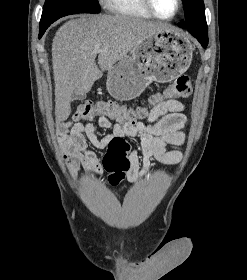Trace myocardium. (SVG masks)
<instances>
[{
  "label": "myocardium",
  "mask_w": 247,
  "mask_h": 280,
  "mask_svg": "<svg viewBox=\"0 0 247 280\" xmlns=\"http://www.w3.org/2000/svg\"><path fill=\"white\" fill-rule=\"evenodd\" d=\"M142 1H143V4H144L146 10L151 14V16L156 19L162 20V21H171V20L175 19L177 17V15L179 14L181 7H182V0H176L177 7H176L174 14L170 17H162L155 11L153 4H152V0H142Z\"/></svg>",
  "instance_id": "1"
}]
</instances>
